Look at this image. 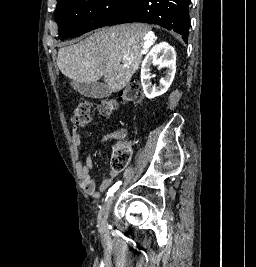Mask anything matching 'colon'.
Instances as JSON below:
<instances>
[{
    "label": "colon",
    "instance_id": "5ec220e1",
    "mask_svg": "<svg viewBox=\"0 0 256 267\" xmlns=\"http://www.w3.org/2000/svg\"><path fill=\"white\" fill-rule=\"evenodd\" d=\"M142 99L141 86L136 81H131L126 88L119 94V101L115 99H102L98 103V114L101 118H110L117 110L119 104H135ZM92 112V104L89 100L79 101L75 108L72 117L74 125L83 129L86 128L90 122ZM132 154V149L127 144L116 145L111 157V164L113 168L121 170L125 168Z\"/></svg>",
    "mask_w": 256,
    "mask_h": 267
}]
</instances>
